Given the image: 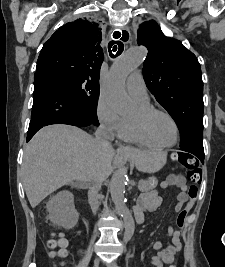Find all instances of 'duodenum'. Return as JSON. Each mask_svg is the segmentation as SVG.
Returning <instances> with one entry per match:
<instances>
[{
    "mask_svg": "<svg viewBox=\"0 0 225 267\" xmlns=\"http://www.w3.org/2000/svg\"><path fill=\"white\" fill-rule=\"evenodd\" d=\"M135 220L138 224L142 223L143 215L139 212L137 213V209H135Z\"/></svg>",
    "mask_w": 225,
    "mask_h": 267,
    "instance_id": "duodenum-1",
    "label": "duodenum"
}]
</instances>
